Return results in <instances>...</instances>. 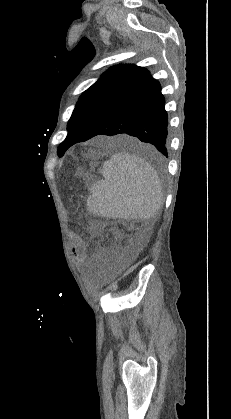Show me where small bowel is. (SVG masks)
Masks as SVG:
<instances>
[{"instance_id":"small-bowel-1","label":"small bowel","mask_w":231,"mask_h":419,"mask_svg":"<svg viewBox=\"0 0 231 419\" xmlns=\"http://www.w3.org/2000/svg\"><path fill=\"white\" fill-rule=\"evenodd\" d=\"M73 251L76 256L80 259L85 257L86 254V244L79 237H74L72 240Z\"/></svg>"}]
</instances>
